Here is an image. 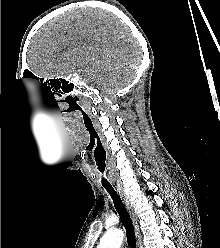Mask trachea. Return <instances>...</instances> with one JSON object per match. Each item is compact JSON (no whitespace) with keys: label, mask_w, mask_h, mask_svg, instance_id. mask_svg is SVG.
I'll list each match as a JSON object with an SVG mask.
<instances>
[{"label":"trachea","mask_w":220,"mask_h":248,"mask_svg":"<svg viewBox=\"0 0 220 248\" xmlns=\"http://www.w3.org/2000/svg\"><path fill=\"white\" fill-rule=\"evenodd\" d=\"M103 187L110 194L113 200L114 207L120 216L122 224L126 230L127 243L129 247L136 248V238H135V233H134V227L132 225L130 215L127 209L125 208L120 196L117 194V192L114 190L111 184H108V183L103 184Z\"/></svg>","instance_id":"3493384b"}]
</instances>
